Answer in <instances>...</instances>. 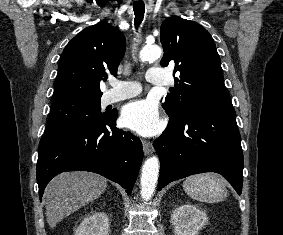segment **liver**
Returning a JSON list of instances; mask_svg holds the SVG:
<instances>
[{"mask_svg": "<svg viewBox=\"0 0 283 235\" xmlns=\"http://www.w3.org/2000/svg\"><path fill=\"white\" fill-rule=\"evenodd\" d=\"M106 187V178L91 172L63 173L53 178L45 193L46 219L50 228L100 197Z\"/></svg>", "mask_w": 283, "mask_h": 235, "instance_id": "6515ba94", "label": "liver"}]
</instances>
